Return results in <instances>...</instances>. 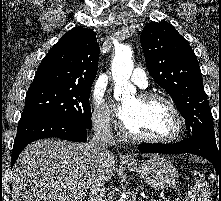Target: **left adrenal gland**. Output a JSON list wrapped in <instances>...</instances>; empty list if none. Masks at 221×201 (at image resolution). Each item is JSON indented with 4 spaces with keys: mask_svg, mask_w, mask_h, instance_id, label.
Here are the masks:
<instances>
[{
    "mask_svg": "<svg viewBox=\"0 0 221 201\" xmlns=\"http://www.w3.org/2000/svg\"><path fill=\"white\" fill-rule=\"evenodd\" d=\"M138 201H143V200L141 198H139Z\"/></svg>",
    "mask_w": 221,
    "mask_h": 201,
    "instance_id": "left-adrenal-gland-1",
    "label": "left adrenal gland"
}]
</instances>
